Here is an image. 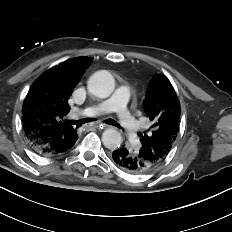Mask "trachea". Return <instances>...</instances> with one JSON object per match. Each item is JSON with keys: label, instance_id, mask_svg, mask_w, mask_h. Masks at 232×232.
<instances>
[{"label": "trachea", "instance_id": "1", "mask_svg": "<svg viewBox=\"0 0 232 232\" xmlns=\"http://www.w3.org/2000/svg\"><path fill=\"white\" fill-rule=\"evenodd\" d=\"M92 121L91 118H86V119H81V120H78L76 122H72L74 123V125H76V128H79L81 127L83 124L87 123V122H90ZM105 123L106 124H109V125H112V126H115L117 128H121L120 125L115 121V120H112V119H107L105 120Z\"/></svg>", "mask_w": 232, "mask_h": 232}]
</instances>
